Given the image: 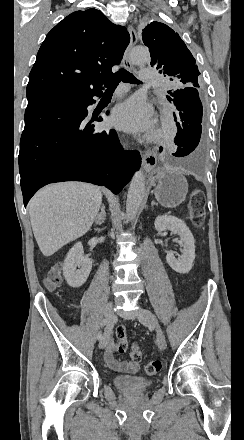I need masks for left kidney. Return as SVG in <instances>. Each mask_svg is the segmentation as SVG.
Wrapping results in <instances>:
<instances>
[{"instance_id":"1","label":"left kidney","mask_w":244,"mask_h":440,"mask_svg":"<svg viewBox=\"0 0 244 440\" xmlns=\"http://www.w3.org/2000/svg\"><path fill=\"white\" fill-rule=\"evenodd\" d=\"M155 230L157 232H165L170 230L173 234H179L182 240V256L178 260L174 254H167L166 260L172 270L178 274H188L190 272L193 262L195 260V240L186 224L182 220H178L175 216H157L154 222Z\"/></svg>"}]
</instances>
